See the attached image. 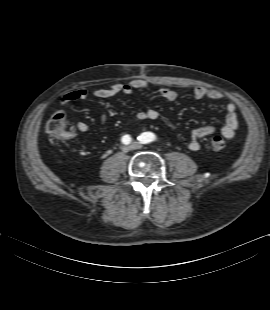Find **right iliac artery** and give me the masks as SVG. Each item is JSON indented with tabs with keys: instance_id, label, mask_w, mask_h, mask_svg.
<instances>
[{
	"instance_id": "right-iliac-artery-1",
	"label": "right iliac artery",
	"mask_w": 270,
	"mask_h": 310,
	"mask_svg": "<svg viewBox=\"0 0 270 310\" xmlns=\"http://www.w3.org/2000/svg\"><path fill=\"white\" fill-rule=\"evenodd\" d=\"M131 137L129 136V135H124L123 137H122V143L123 144H129L130 142H131Z\"/></svg>"
}]
</instances>
